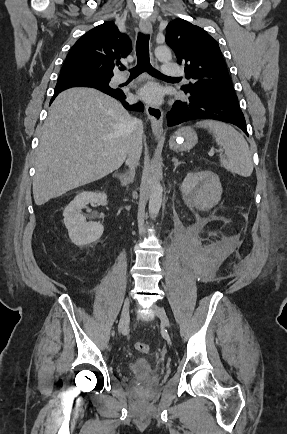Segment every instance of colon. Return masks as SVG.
Wrapping results in <instances>:
<instances>
[{
  "label": "colon",
  "instance_id": "5ec220e1",
  "mask_svg": "<svg viewBox=\"0 0 287 434\" xmlns=\"http://www.w3.org/2000/svg\"><path fill=\"white\" fill-rule=\"evenodd\" d=\"M134 347L137 351L141 353H147L149 351V345L145 342H136Z\"/></svg>",
  "mask_w": 287,
  "mask_h": 434
}]
</instances>
